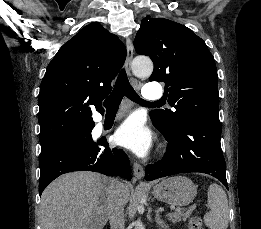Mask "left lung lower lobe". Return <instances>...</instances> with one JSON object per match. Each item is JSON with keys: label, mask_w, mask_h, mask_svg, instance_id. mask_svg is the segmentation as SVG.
Returning <instances> with one entry per match:
<instances>
[{"label": "left lung lower lobe", "mask_w": 261, "mask_h": 229, "mask_svg": "<svg viewBox=\"0 0 261 229\" xmlns=\"http://www.w3.org/2000/svg\"><path fill=\"white\" fill-rule=\"evenodd\" d=\"M162 134L169 143L167 153L163 160L147 165L145 180L152 181L178 173L203 172L219 179L228 189L220 144V124L196 117L187 120L178 133Z\"/></svg>", "instance_id": "0a47b994"}]
</instances>
